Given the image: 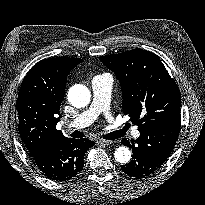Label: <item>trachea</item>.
Listing matches in <instances>:
<instances>
[{
	"label": "trachea",
	"mask_w": 205,
	"mask_h": 205,
	"mask_svg": "<svg viewBox=\"0 0 205 205\" xmlns=\"http://www.w3.org/2000/svg\"><path fill=\"white\" fill-rule=\"evenodd\" d=\"M128 127L125 126L123 129H120V130H117V131H114V132H111L109 134H106L104 136V139H107V140H114V139H118V138H121L122 136H124L126 134V131H127ZM71 137L73 138H82V137H85V135L78 131V130H75L72 134H71Z\"/></svg>",
	"instance_id": "1"
}]
</instances>
